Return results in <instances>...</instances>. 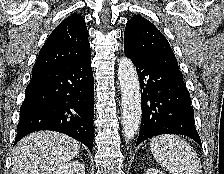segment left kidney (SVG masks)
Returning <instances> with one entry per match:
<instances>
[{"mask_svg":"<svg viewBox=\"0 0 224 174\" xmlns=\"http://www.w3.org/2000/svg\"><path fill=\"white\" fill-rule=\"evenodd\" d=\"M146 174H164V173L159 171L158 169L150 168L146 171Z\"/></svg>","mask_w":224,"mask_h":174,"instance_id":"1","label":"left kidney"}]
</instances>
